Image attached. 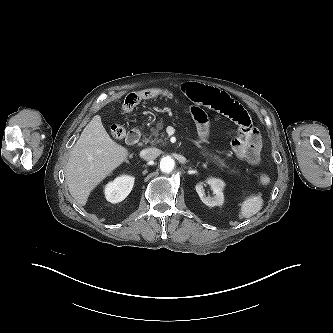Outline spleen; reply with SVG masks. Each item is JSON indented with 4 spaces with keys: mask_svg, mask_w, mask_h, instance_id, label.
Here are the masks:
<instances>
[{
    "mask_svg": "<svg viewBox=\"0 0 333 333\" xmlns=\"http://www.w3.org/2000/svg\"><path fill=\"white\" fill-rule=\"evenodd\" d=\"M263 205V200L259 196H250L243 201L241 205V211L239 218H250L251 216L258 213Z\"/></svg>",
    "mask_w": 333,
    "mask_h": 333,
    "instance_id": "1",
    "label": "spleen"
}]
</instances>
